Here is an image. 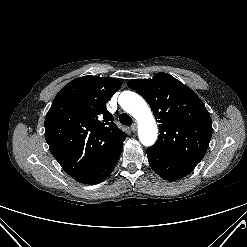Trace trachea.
Listing matches in <instances>:
<instances>
[{"label":"trachea","mask_w":247,"mask_h":247,"mask_svg":"<svg viewBox=\"0 0 247 247\" xmlns=\"http://www.w3.org/2000/svg\"><path fill=\"white\" fill-rule=\"evenodd\" d=\"M119 120L122 125L129 126L132 124V118L126 113H122L119 117Z\"/></svg>","instance_id":"trachea-1"}]
</instances>
